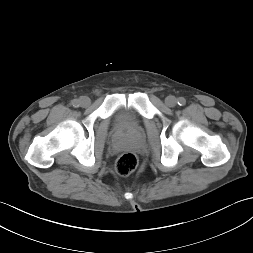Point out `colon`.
<instances>
[{
	"label": "colon",
	"mask_w": 253,
	"mask_h": 253,
	"mask_svg": "<svg viewBox=\"0 0 253 253\" xmlns=\"http://www.w3.org/2000/svg\"><path fill=\"white\" fill-rule=\"evenodd\" d=\"M138 158L133 152H124L117 158L115 162V170L121 176L131 174L137 167Z\"/></svg>",
	"instance_id": "5ec220e1"
}]
</instances>
